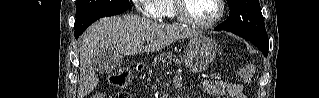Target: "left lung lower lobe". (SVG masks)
<instances>
[{"instance_id":"0a47b994","label":"left lung lower lobe","mask_w":319,"mask_h":98,"mask_svg":"<svg viewBox=\"0 0 319 98\" xmlns=\"http://www.w3.org/2000/svg\"><path fill=\"white\" fill-rule=\"evenodd\" d=\"M216 31H221L223 30L220 26H217L214 28ZM253 43L255 46H257L258 49H260L265 56L268 55V49H269V43H260V42H255V41H250Z\"/></svg>"}]
</instances>
